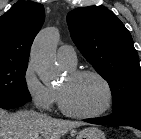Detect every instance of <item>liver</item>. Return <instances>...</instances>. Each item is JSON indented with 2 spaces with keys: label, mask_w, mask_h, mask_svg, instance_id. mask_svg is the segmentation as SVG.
<instances>
[{
  "label": "liver",
  "mask_w": 141,
  "mask_h": 139,
  "mask_svg": "<svg viewBox=\"0 0 141 139\" xmlns=\"http://www.w3.org/2000/svg\"><path fill=\"white\" fill-rule=\"evenodd\" d=\"M81 122L51 118L35 111L14 114L0 109V139H60Z\"/></svg>",
  "instance_id": "6515ba94"
}]
</instances>
